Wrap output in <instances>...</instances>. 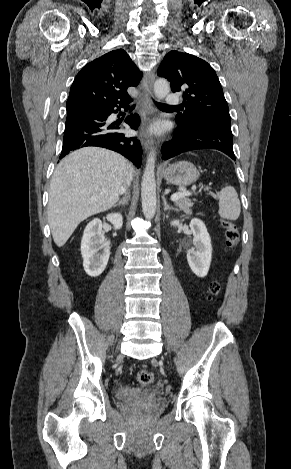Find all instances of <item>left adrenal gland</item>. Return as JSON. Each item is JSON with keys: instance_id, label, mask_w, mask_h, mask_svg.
Here are the masks:
<instances>
[{"instance_id": "left-adrenal-gland-1", "label": "left adrenal gland", "mask_w": 291, "mask_h": 469, "mask_svg": "<svg viewBox=\"0 0 291 469\" xmlns=\"http://www.w3.org/2000/svg\"><path fill=\"white\" fill-rule=\"evenodd\" d=\"M162 200H163V204H164V210H175V211H179L177 208H175V207H173V206H170V205L167 203L166 198H165V194H163Z\"/></svg>"}]
</instances>
